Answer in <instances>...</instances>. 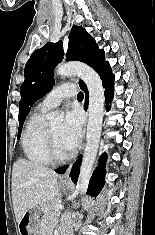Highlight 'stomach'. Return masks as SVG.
<instances>
[{
    "label": "stomach",
    "mask_w": 155,
    "mask_h": 235,
    "mask_svg": "<svg viewBox=\"0 0 155 235\" xmlns=\"http://www.w3.org/2000/svg\"><path fill=\"white\" fill-rule=\"evenodd\" d=\"M62 187L67 189L68 184L62 183ZM42 210V205H36L25 212L22 220L18 223L20 235H37L40 232V213Z\"/></svg>",
    "instance_id": "1"
}]
</instances>
